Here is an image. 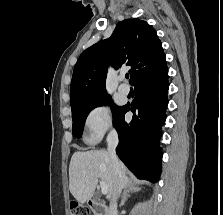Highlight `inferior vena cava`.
Returning <instances> with one entry per match:
<instances>
[{
  "label": "inferior vena cava",
  "mask_w": 223,
  "mask_h": 215,
  "mask_svg": "<svg viewBox=\"0 0 223 215\" xmlns=\"http://www.w3.org/2000/svg\"><path fill=\"white\" fill-rule=\"evenodd\" d=\"M118 141H119V139H118L117 131H114V129H113V131H110V133L107 137V143H108V153H109V157H111V159H112L113 171H114L115 175H117V173H119V171H120V161H119V159L116 155V151H115V147H116ZM116 183H119V181H116ZM117 195H118V191H116V193H113L112 201L110 203V207L108 209L107 215H118L117 203H116Z\"/></svg>",
  "instance_id": "1"
}]
</instances>
